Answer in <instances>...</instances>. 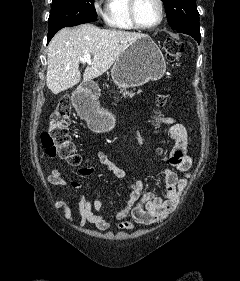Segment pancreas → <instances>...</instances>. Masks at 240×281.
Here are the masks:
<instances>
[{"mask_svg": "<svg viewBox=\"0 0 240 281\" xmlns=\"http://www.w3.org/2000/svg\"><path fill=\"white\" fill-rule=\"evenodd\" d=\"M141 92H142V90L139 89V90L137 91V94H139V93H141ZM120 93H122L123 96H128V97H133L134 94H135L133 91H127V90H121Z\"/></svg>", "mask_w": 240, "mask_h": 281, "instance_id": "1", "label": "pancreas"}]
</instances>
